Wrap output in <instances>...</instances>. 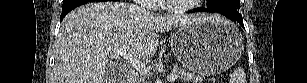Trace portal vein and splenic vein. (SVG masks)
I'll return each instance as SVG.
<instances>
[{"instance_id":"obj_1","label":"portal vein and splenic vein","mask_w":307,"mask_h":83,"mask_svg":"<svg viewBox=\"0 0 307 83\" xmlns=\"http://www.w3.org/2000/svg\"><path fill=\"white\" fill-rule=\"evenodd\" d=\"M113 53L116 56H121L122 58H124L127 62H129L139 73L143 74V75H148L149 74V69L147 68V66L140 62L137 58H135L134 56H132L130 53H128L126 50H122V49H115L113 50ZM177 75L171 74L167 77L168 81H175L177 79Z\"/></svg>"}]
</instances>
